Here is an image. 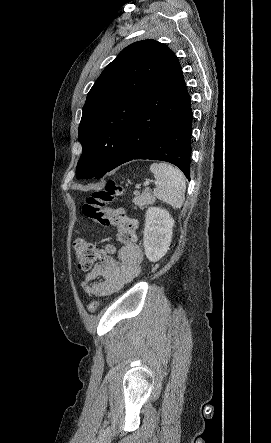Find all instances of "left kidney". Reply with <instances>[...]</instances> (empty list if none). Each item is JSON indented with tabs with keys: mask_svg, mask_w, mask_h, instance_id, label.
<instances>
[{
	"mask_svg": "<svg viewBox=\"0 0 271 443\" xmlns=\"http://www.w3.org/2000/svg\"><path fill=\"white\" fill-rule=\"evenodd\" d=\"M143 245L149 261H159L167 253L174 220L167 210L148 208L145 216Z\"/></svg>",
	"mask_w": 271,
	"mask_h": 443,
	"instance_id": "5707ae66",
	"label": "left kidney"
}]
</instances>
